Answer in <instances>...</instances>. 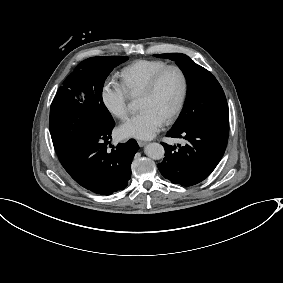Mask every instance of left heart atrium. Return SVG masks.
I'll use <instances>...</instances> for the list:
<instances>
[{"instance_id":"39dd6f15","label":"left heart atrium","mask_w":283,"mask_h":283,"mask_svg":"<svg viewBox=\"0 0 283 283\" xmlns=\"http://www.w3.org/2000/svg\"><path fill=\"white\" fill-rule=\"evenodd\" d=\"M165 122V117L156 111L145 108L128 119L117 129L119 138L149 139L156 135Z\"/></svg>"}]
</instances>
